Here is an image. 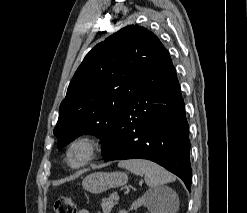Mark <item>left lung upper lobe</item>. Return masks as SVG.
<instances>
[{"instance_id": "1", "label": "left lung upper lobe", "mask_w": 247, "mask_h": 213, "mask_svg": "<svg viewBox=\"0 0 247 213\" xmlns=\"http://www.w3.org/2000/svg\"><path fill=\"white\" fill-rule=\"evenodd\" d=\"M168 54L152 32L137 24L97 44L78 67L60 105L54 128L58 148L80 135L92 134L103 142L104 154L126 101L136 95L148 69Z\"/></svg>"}]
</instances>
